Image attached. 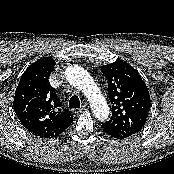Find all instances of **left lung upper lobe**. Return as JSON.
Instances as JSON below:
<instances>
[{"label": "left lung upper lobe", "mask_w": 174, "mask_h": 174, "mask_svg": "<svg viewBox=\"0 0 174 174\" xmlns=\"http://www.w3.org/2000/svg\"><path fill=\"white\" fill-rule=\"evenodd\" d=\"M108 82L112 116L102 126L123 137L138 133L150 110V94L139 73L123 61L101 67Z\"/></svg>", "instance_id": "left-lung-upper-lobe-1"}]
</instances>
